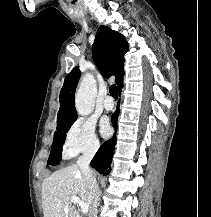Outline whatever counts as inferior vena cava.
<instances>
[{"label":"inferior vena cava","instance_id":"602c4592","mask_svg":"<svg viewBox=\"0 0 211 217\" xmlns=\"http://www.w3.org/2000/svg\"><path fill=\"white\" fill-rule=\"evenodd\" d=\"M98 146H92L88 150H86L81 157L78 158L77 165L81 169L82 173L85 175L90 199H91V206L89 211V217H97V206H98V199H99V190L96 182V178L94 172L90 169L89 164L92 158L94 157Z\"/></svg>","mask_w":211,"mask_h":217}]
</instances>
